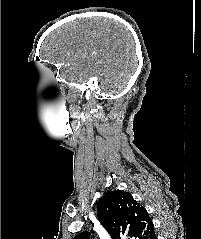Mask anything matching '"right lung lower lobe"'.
<instances>
[{
	"label": "right lung lower lobe",
	"instance_id": "obj_1",
	"mask_svg": "<svg viewBox=\"0 0 201 239\" xmlns=\"http://www.w3.org/2000/svg\"><path fill=\"white\" fill-rule=\"evenodd\" d=\"M153 238H154V239H157V238H156V235H155Z\"/></svg>",
	"mask_w": 201,
	"mask_h": 239
}]
</instances>
